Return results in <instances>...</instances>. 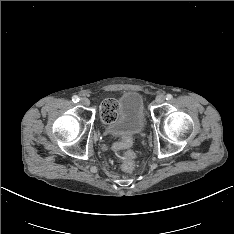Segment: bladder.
Wrapping results in <instances>:
<instances>
[{
    "mask_svg": "<svg viewBox=\"0 0 234 234\" xmlns=\"http://www.w3.org/2000/svg\"><path fill=\"white\" fill-rule=\"evenodd\" d=\"M147 125V113L142 95L136 91L124 92L118 99L115 119L107 131L115 136L131 137L141 134Z\"/></svg>",
    "mask_w": 234,
    "mask_h": 234,
    "instance_id": "bladder-1",
    "label": "bladder"
}]
</instances>
